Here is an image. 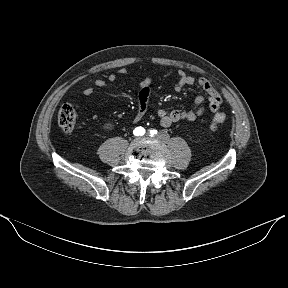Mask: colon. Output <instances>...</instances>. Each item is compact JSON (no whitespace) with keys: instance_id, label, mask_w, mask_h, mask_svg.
I'll return each instance as SVG.
<instances>
[{"instance_id":"obj_1","label":"colon","mask_w":288,"mask_h":288,"mask_svg":"<svg viewBox=\"0 0 288 288\" xmlns=\"http://www.w3.org/2000/svg\"><path fill=\"white\" fill-rule=\"evenodd\" d=\"M57 121L63 132H72L75 129L78 121L77 107L72 104H64L58 112ZM225 121L226 115L223 112L216 113L210 123V129L216 130Z\"/></svg>"}]
</instances>
